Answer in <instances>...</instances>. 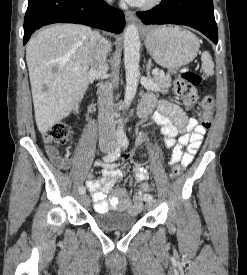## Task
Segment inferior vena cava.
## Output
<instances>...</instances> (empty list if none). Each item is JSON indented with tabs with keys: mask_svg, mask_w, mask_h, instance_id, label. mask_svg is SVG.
Returning a JSON list of instances; mask_svg holds the SVG:
<instances>
[{
	"mask_svg": "<svg viewBox=\"0 0 247 275\" xmlns=\"http://www.w3.org/2000/svg\"><path fill=\"white\" fill-rule=\"evenodd\" d=\"M110 2L111 0H107ZM110 43L98 32H93L90 38V74L97 79L105 77L108 71L106 62ZM99 101V143L115 146L116 125L114 120L113 89L111 85L102 83L98 89Z\"/></svg>",
	"mask_w": 247,
	"mask_h": 275,
	"instance_id": "1",
	"label": "inferior vena cava"
}]
</instances>
